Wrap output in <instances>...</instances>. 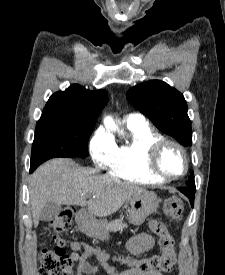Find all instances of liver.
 Returning <instances> with one entry per match:
<instances>
[{"label":"liver","mask_w":225,"mask_h":275,"mask_svg":"<svg viewBox=\"0 0 225 275\" xmlns=\"http://www.w3.org/2000/svg\"><path fill=\"white\" fill-rule=\"evenodd\" d=\"M29 192L33 223L37 227L40 212L48 202L88 205L92 215L105 217L146 189L110 175H97L94 170L80 167L71 159L55 158L36 169L31 176Z\"/></svg>","instance_id":"liver-1"}]
</instances>
